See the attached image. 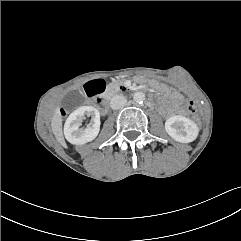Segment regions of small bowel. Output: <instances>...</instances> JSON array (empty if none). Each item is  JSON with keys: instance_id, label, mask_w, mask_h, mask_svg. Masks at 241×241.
Listing matches in <instances>:
<instances>
[{"instance_id": "obj_1", "label": "small bowel", "mask_w": 241, "mask_h": 241, "mask_svg": "<svg viewBox=\"0 0 241 241\" xmlns=\"http://www.w3.org/2000/svg\"><path fill=\"white\" fill-rule=\"evenodd\" d=\"M182 102L183 98L181 96H179L178 94H172V96H170L168 104H166L164 108L165 113L172 114L174 112L180 111Z\"/></svg>"}]
</instances>
